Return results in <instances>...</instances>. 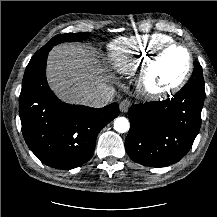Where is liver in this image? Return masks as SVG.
I'll use <instances>...</instances> for the list:
<instances>
[{
  "mask_svg": "<svg viewBox=\"0 0 217 217\" xmlns=\"http://www.w3.org/2000/svg\"><path fill=\"white\" fill-rule=\"evenodd\" d=\"M106 68L94 58L93 51L67 43L53 48L47 61L50 88L63 101L84 104L83 99L98 87H108Z\"/></svg>",
  "mask_w": 217,
  "mask_h": 217,
  "instance_id": "1",
  "label": "liver"
}]
</instances>
